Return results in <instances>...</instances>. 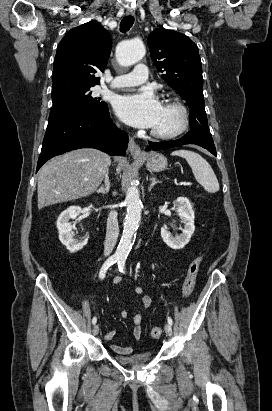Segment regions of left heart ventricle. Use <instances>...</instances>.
<instances>
[{"instance_id":"b2bd125f","label":"left heart ventricle","mask_w":272,"mask_h":411,"mask_svg":"<svg viewBox=\"0 0 272 411\" xmlns=\"http://www.w3.org/2000/svg\"><path fill=\"white\" fill-rule=\"evenodd\" d=\"M179 120L177 111L168 106H162L157 123L153 127L158 131H170L174 129Z\"/></svg>"}]
</instances>
